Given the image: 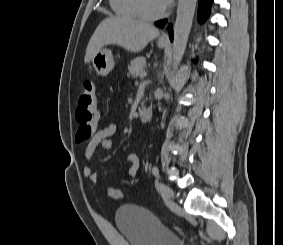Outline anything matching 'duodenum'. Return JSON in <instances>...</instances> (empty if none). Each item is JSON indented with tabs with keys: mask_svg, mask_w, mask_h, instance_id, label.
Wrapping results in <instances>:
<instances>
[{
	"mask_svg": "<svg viewBox=\"0 0 283 245\" xmlns=\"http://www.w3.org/2000/svg\"><path fill=\"white\" fill-rule=\"evenodd\" d=\"M152 115L153 113L150 107L143 108L139 113L140 120L144 123H149L152 119Z\"/></svg>",
	"mask_w": 283,
	"mask_h": 245,
	"instance_id": "obj_1",
	"label": "duodenum"
}]
</instances>
